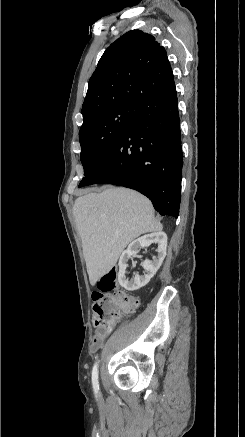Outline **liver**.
<instances>
[{
    "label": "liver",
    "instance_id": "obj_1",
    "mask_svg": "<svg viewBox=\"0 0 245 437\" xmlns=\"http://www.w3.org/2000/svg\"><path fill=\"white\" fill-rule=\"evenodd\" d=\"M73 215L92 286L116 265L131 241L163 228L154 218L152 203L126 188L109 187L78 197Z\"/></svg>",
    "mask_w": 245,
    "mask_h": 437
}]
</instances>
